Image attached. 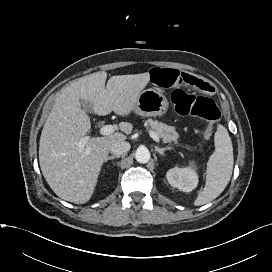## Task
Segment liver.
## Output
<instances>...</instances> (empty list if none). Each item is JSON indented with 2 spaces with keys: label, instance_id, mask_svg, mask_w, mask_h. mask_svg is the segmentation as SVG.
Masks as SVG:
<instances>
[{
  "label": "liver",
  "instance_id": "liver-1",
  "mask_svg": "<svg viewBox=\"0 0 272 272\" xmlns=\"http://www.w3.org/2000/svg\"><path fill=\"white\" fill-rule=\"evenodd\" d=\"M149 78L148 72L112 76L105 87L107 73L101 71L82 77L61 91L44 124L39 145L42 174L58 197L75 204L89 201L110 146L126 139L116 132L90 138L80 146V140L91 128L82 101L89 102L92 111L100 116L112 111L128 116ZM119 128L127 135L133 130L127 122H121Z\"/></svg>",
  "mask_w": 272,
  "mask_h": 272
}]
</instances>
